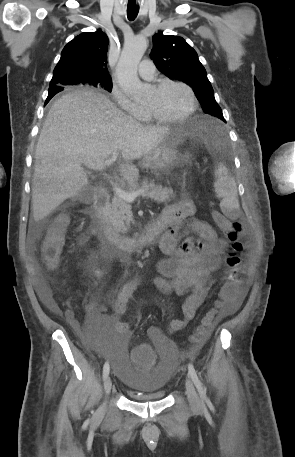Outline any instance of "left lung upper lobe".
<instances>
[{
  "mask_svg": "<svg viewBox=\"0 0 295 457\" xmlns=\"http://www.w3.org/2000/svg\"><path fill=\"white\" fill-rule=\"evenodd\" d=\"M152 40L151 58L160 72L170 79L191 86L203 111L225 122L206 70L199 61L196 51L182 37L155 34Z\"/></svg>",
  "mask_w": 295,
  "mask_h": 457,
  "instance_id": "1",
  "label": "left lung upper lobe"
}]
</instances>
